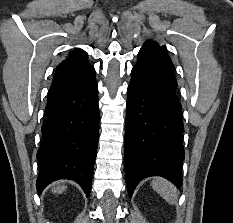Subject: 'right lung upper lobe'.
I'll return each instance as SVG.
<instances>
[{
    "instance_id": "cb5924a9",
    "label": "right lung upper lobe",
    "mask_w": 233,
    "mask_h": 223,
    "mask_svg": "<svg viewBox=\"0 0 233 223\" xmlns=\"http://www.w3.org/2000/svg\"><path fill=\"white\" fill-rule=\"evenodd\" d=\"M86 63H88L87 53L81 49L76 48L68 59L62 61V63L58 65L56 70L76 67Z\"/></svg>"
}]
</instances>
